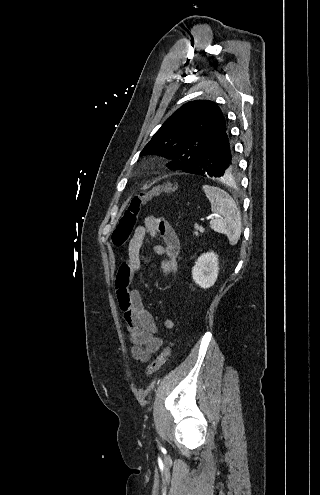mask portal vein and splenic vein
<instances>
[{"mask_svg": "<svg viewBox=\"0 0 320 495\" xmlns=\"http://www.w3.org/2000/svg\"><path fill=\"white\" fill-rule=\"evenodd\" d=\"M214 218V215L211 216V217H207V220H210V219H213Z\"/></svg>", "mask_w": 320, "mask_h": 495, "instance_id": "portal-vein-and-splenic-vein-1", "label": "portal vein and splenic vein"}]
</instances>
